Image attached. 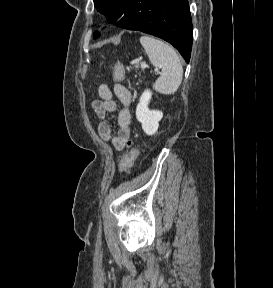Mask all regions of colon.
Here are the masks:
<instances>
[{"mask_svg": "<svg viewBox=\"0 0 273 288\" xmlns=\"http://www.w3.org/2000/svg\"><path fill=\"white\" fill-rule=\"evenodd\" d=\"M113 77L116 81L120 82L124 78V68L122 64L117 63L114 67ZM138 155L137 148L131 143L128 142L127 150L122 154L120 159L118 160V171L123 174L129 171V169L133 166L134 161L136 160Z\"/></svg>", "mask_w": 273, "mask_h": 288, "instance_id": "obj_1", "label": "colon"}]
</instances>
